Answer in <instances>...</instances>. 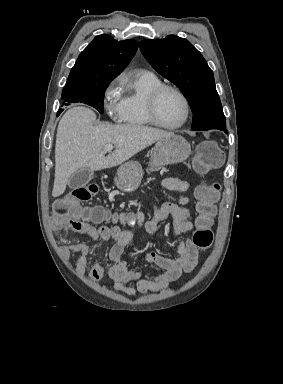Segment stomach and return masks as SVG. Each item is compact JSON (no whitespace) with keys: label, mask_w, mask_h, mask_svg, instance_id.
Instances as JSON below:
<instances>
[{"label":"stomach","mask_w":283,"mask_h":384,"mask_svg":"<svg viewBox=\"0 0 283 384\" xmlns=\"http://www.w3.org/2000/svg\"><path fill=\"white\" fill-rule=\"evenodd\" d=\"M191 154V146L182 136H167L158 140L153 148L150 158L149 172H155L160 166L167 164H180L187 160ZM144 172L135 160L119 166L115 184L121 192H135L141 184Z\"/></svg>","instance_id":"0dacf381"}]
</instances>
